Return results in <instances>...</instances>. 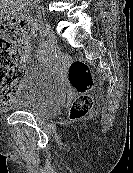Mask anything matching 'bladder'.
Returning <instances> with one entry per match:
<instances>
[{
  "mask_svg": "<svg viewBox=\"0 0 133 173\" xmlns=\"http://www.w3.org/2000/svg\"><path fill=\"white\" fill-rule=\"evenodd\" d=\"M65 96L66 85L58 72L47 65H35L24 72L8 108L50 118L59 112Z\"/></svg>",
  "mask_w": 133,
  "mask_h": 173,
  "instance_id": "31cf9c89",
  "label": "bladder"
}]
</instances>
